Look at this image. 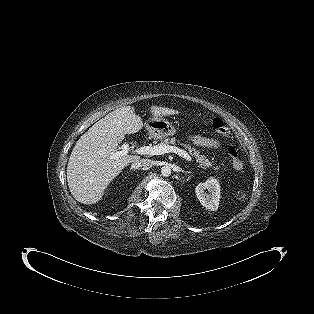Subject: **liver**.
Here are the masks:
<instances>
[{
  "mask_svg": "<svg viewBox=\"0 0 314 314\" xmlns=\"http://www.w3.org/2000/svg\"><path fill=\"white\" fill-rule=\"evenodd\" d=\"M152 118L179 114L169 108L152 106ZM143 123L130 106L118 108L95 123L76 142L67 165V182L72 196L83 204H95L110 182L137 155L113 157L126 134L141 130Z\"/></svg>",
  "mask_w": 314,
  "mask_h": 314,
  "instance_id": "liver-1",
  "label": "liver"
}]
</instances>
